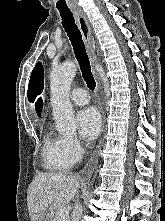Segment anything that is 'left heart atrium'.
<instances>
[{"mask_svg": "<svg viewBox=\"0 0 165 221\" xmlns=\"http://www.w3.org/2000/svg\"><path fill=\"white\" fill-rule=\"evenodd\" d=\"M77 123L80 135L87 142L97 138L101 130V117L92 107L85 108L77 114Z\"/></svg>", "mask_w": 165, "mask_h": 221, "instance_id": "39dd6f15", "label": "left heart atrium"}]
</instances>
